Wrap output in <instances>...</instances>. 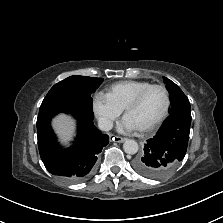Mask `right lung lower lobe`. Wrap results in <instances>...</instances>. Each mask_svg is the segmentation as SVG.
<instances>
[{"instance_id":"1","label":"right lung lower lobe","mask_w":223,"mask_h":223,"mask_svg":"<svg viewBox=\"0 0 223 223\" xmlns=\"http://www.w3.org/2000/svg\"><path fill=\"white\" fill-rule=\"evenodd\" d=\"M77 110V111H76ZM75 115L78 135L69 149H61L52 131L51 119L58 113ZM92 106L76 98H64L39 110L37 118L38 148L46 169L68 183H78L89 178L98 154L109 143V136L93 125Z\"/></svg>"}]
</instances>
